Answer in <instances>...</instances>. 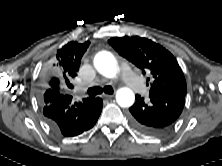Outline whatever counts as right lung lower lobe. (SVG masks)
<instances>
[{
  "label": "right lung lower lobe",
  "instance_id": "obj_1",
  "mask_svg": "<svg viewBox=\"0 0 222 166\" xmlns=\"http://www.w3.org/2000/svg\"><path fill=\"white\" fill-rule=\"evenodd\" d=\"M41 103L47 124L65 137L76 136L92 128L103 106L99 97L74 102L72 96L53 89L44 92Z\"/></svg>",
  "mask_w": 222,
  "mask_h": 166
}]
</instances>
